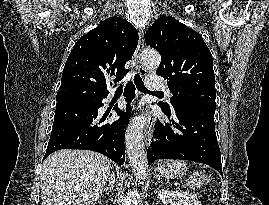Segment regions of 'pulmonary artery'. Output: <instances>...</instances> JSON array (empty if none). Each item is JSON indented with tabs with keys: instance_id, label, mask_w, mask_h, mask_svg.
<instances>
[{
	"instance_id": "1",
	"label": "pulmonary artery",
	"mask_w": 269,
	"mask_h": 205,
	"mask_svg": "<svg viewBox=\"0 0 269 205\" xmlns=\"http://www.w3.org/2000/svg\"><path fill=\"white\" fill-rule=\"evenodd\" d=\"M145 84L149 89L166 90L169 95L171 92L166 88L163 79L157 76L148 75L145 78Z\"/></svg>"
}]
</instances>
